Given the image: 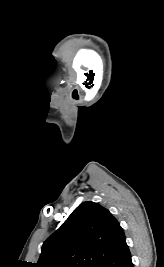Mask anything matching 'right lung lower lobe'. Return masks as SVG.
<instances>
[{
  "label": "right lung lower lobe",
  "mask_w": 164,
  "mask_h": 267,
  "mask_svg": "<svg viewBox=\"0 0 164 267\" xmlns=\"http://www.w3.org/2000/svg\"><path fill=\"white\" fill-rule=\"evenodd\" d=\"M99 267H134L128 246L125 245L115 254L99 265Z\"/></svg>",
  "instance_id": "right-lung-lower-lobe-1"
}]
</instances>
